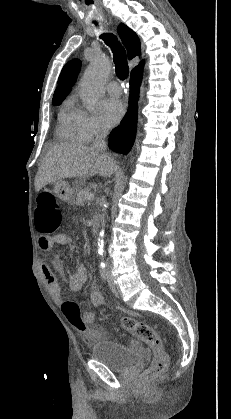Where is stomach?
Instances as JSON below:
<instances>
[{
	"label": "stomach",
	"instance_id": "obj_1",
	"mask_svg": "<svg viewBox=\"0 0 231 419\" xmlns=\"http://www.w3.org/2000/svg\"><path fill=\"white\" fill-rule=\"evenodd\" d=\"M54 192L61 200L73 203L77 188L71 187L65 180H59L54 183Z\"/></svg>",
	"mask_w": 231,
	"mask_h": 419
}]
</instances>
